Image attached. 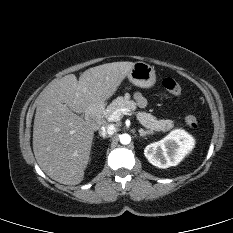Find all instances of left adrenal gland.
Returning <instances> with one entry per match:
<instances>
[{
  "mask_svg": "<svg viewBox=\"0 0 233 233\" xmlns=\"http://www.w3.org/2000/svg\"><path fill=\"white\" fill-rule=\"evenodd\" d=\"M138 132H139V134H140V137H144V136H146V135H148V134H152L151 132H149V131H144L143 129H139Z\"/></svg>",
  "mask_w": 233,
  "mask_h": 233,
  "instance_id": "1",
  "label": "left adrenal gland"
}]
</instances>
